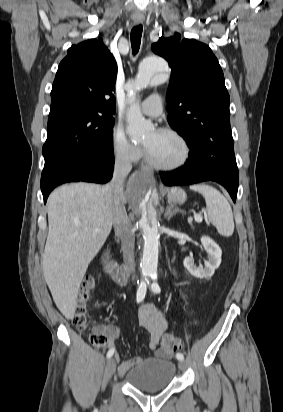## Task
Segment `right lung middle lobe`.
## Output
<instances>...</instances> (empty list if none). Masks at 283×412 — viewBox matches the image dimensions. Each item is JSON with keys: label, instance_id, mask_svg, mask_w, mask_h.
I'll use <instances>...</instances> for the list:
<instances>
[{"label": "right lung middle lobe", "instance_id": "obj_1", "mask_svg": "<svg viewBox=\"0 0 283 412\" xmlns=\"http://www.w3.org/2000/svg\"><path fill=\"white\" fill-rule=\"evenodd\" d=\"M114 118L96 110L70 109L49 115L44 159L63 152L113 155Z\"/></svg>", "mask_w": 283, "mask_h": 412}]
</instances>
